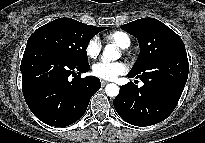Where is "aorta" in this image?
<instances>
[{
    "instance_id": "obj_1",
    "label": "aorta",
    "mask_w": 205,
    "mask_h": 143,
    "mask_svg": "<svg viewBox=\"0 0 205 143\" xmlns=\"http://www.w3.org/2000/svg\"><path fill=\"white\" fill-rule=\"evenodd\" d=\"M120 56L121 54L116 49V47L113 44H108L105 46V49L103 51L102 60L109 62L119 59ZM105 92L110 97H116L119 94V87L114 83L107 84L105 87Z\"/></svg>"
}]
</instances>
